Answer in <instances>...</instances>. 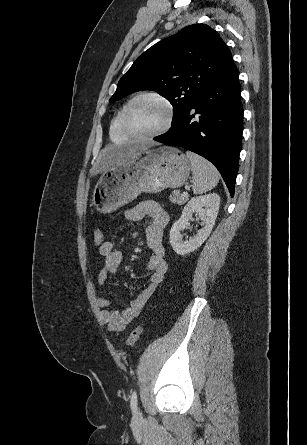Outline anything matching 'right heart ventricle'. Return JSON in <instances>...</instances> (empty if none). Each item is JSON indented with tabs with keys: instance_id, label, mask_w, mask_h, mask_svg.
Wrapping results in <instances>:
<instances>
[{
	"instance_id": "right-heart-ventricle-1",
	"label": "right heart ventricle",
	"mask_w": 307,
	"mask_h": 445,
	"mask_svg": "<svg viewBox=\"0 0 307 445\" xmlns=\"http://www.w3.org/2000/svg\"><path fill=\"white\" fill-rule=\"evenodd\" d=\"M110 136L112 140H129L130 136L125 129L124 110H121L113 119L110 126Z\"/></svg>"
}]
</instances>
